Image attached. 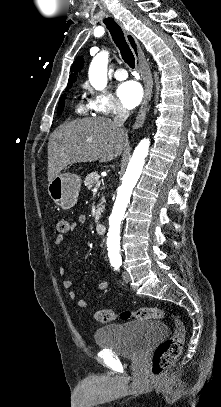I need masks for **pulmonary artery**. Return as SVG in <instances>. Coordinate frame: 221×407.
<instances>
[{
  "label": "pulmonary artery",
  "instance_id": "e3ab8cb5",
  "mask_svg": "<svg viewBox=\"0 0 221 407\" xmlns=\"http://www.w3.org/2000/svg\"><path fill=\"white\" fill-rule=\"evenodd\" d=\"M114 77L119 81L125 80L128 77L126 69L125 68L116 69V71L114 72Z\"/></svg>",
  "mask_w": 221,
  "mask_h": 407
}]
</instances>
